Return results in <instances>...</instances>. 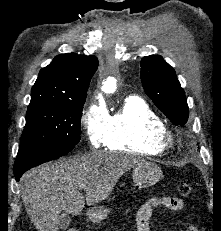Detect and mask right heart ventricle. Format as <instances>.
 <instances>
[{
	"mask_svg": "<svg viewBox=\"0 0 221 231\" xmlns=\"http://www.w3.org/2000/svg\"><path fill=\"white\" fill-rule=\"evenodd\" d=\"M165 129L160 116L141 98L130 96L109 115L105 146L109 150L158 155L164 147L156 143Z\"/></svg>",
	"mask_w": 221,
	"mask_h": 231,
	"instance_id": "e07e8e85",
	"label": "right heart ventricle"
}]
</instances>
